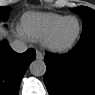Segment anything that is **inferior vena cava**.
<instances>
[{"mask_svg":"<svg viewBox=\"0 0 95 95\" xmlns=\"http://www.w3.org/2000/svg\"><path fill=\"white\" fill-rule=\"evenodd\" d=\"M10 46L17 53H23L27 50L26 44L21 40H14L10 43Z\"/></svg>","mask_w":95,"mask_h":95,"instance_id":"obj_1","label":"inferior vena cava"}]
</instances>
